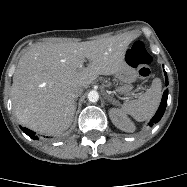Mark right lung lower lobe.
Wrapping results in <instances>:
<instances>
[{"mask_svg": "<svg viewBox=\"0 0 187 187\" xmlns=\"http://www.w3.org/2000/svg\"><path fill=\"white\" fill-rule=\"evenodd\" d=\"M21 129H22V131H23L25 134H27L30 138H32V139H38L37 136H35V132H33V131H31V130H29V129H27V128H21Z\"/></svg>", "mask_w": 187, "mask_h": 187, "instance_id": "obj_1", "label": "right lung lower lobe"}]
</instances>
